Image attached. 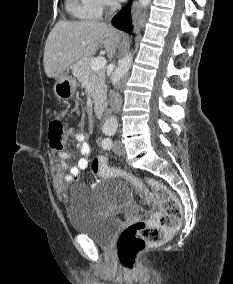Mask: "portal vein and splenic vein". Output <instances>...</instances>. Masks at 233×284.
<instances>
[{
    "mask_svg": "<svg viewBox=\"0 0 233 284\" xmlns=\"http://www.w3.org/2000/svg\"><path fill=\"white\" fill-rule=\"evenodd\" d=\"M90 65L94 70H101L106 65V59L103 57H97L91 61Z\"/></svg>",
    "mask_w": 233,
    "mask_h": 284,
    "instance_id": "18ae733b",
    "label": "portal vein and splenic vein"
}]
</instances>
